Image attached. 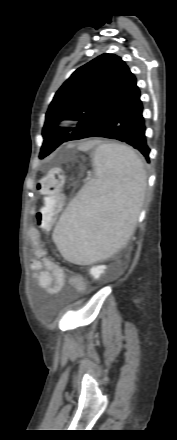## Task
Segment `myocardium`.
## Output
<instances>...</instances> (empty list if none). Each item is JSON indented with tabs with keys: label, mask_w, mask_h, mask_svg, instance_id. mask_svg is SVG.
<instances>
[{
	"label": "myocardium",
	"mask_w": 177,
	"mask_h": 440,
	"mask_svg": "<svg viewBox=\"0 0 177 440\" xmlns=\"http://www.w3.org/2000/svg\"><path fill=\"white\" fill-rule=\"evenodd\" d=\"M72 125V122L69 120H61L57 124V130H64L69 128Z\"/></svg>",
	"instance_id": "obj_1"
}]
</instances>
